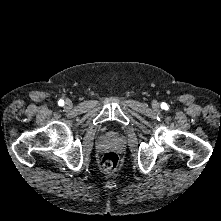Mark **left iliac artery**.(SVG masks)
Here are the masks:
<instances>
[{
	"label": "left iliac artery",
	"mask_w": 221,
	"mask_h": 221,
	"mask_svg": "<svg viewBox=\"0 0 221 221\" xmlns=\"http://www.w3.org/2000/svg\"><path fill=\"white\" fill-rule=\"evenodd\" d=\"M166 107H167V104H166V103H162V104H161V108H162V109H165Z\"/></svg>",
	"instance_id": "obj_1"
}]
</instances>
